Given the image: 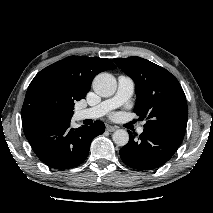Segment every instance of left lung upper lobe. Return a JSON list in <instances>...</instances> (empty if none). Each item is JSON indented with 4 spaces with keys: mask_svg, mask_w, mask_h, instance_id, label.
I'll list each match as a JSON object with an SVG mask.
<instances>
[{
    "mask_svg": "<svg viewBox=\"0 0 213 213\" xmlns=\"http://www.w3.org/2000/svg\"><path fill=\"white\" fill-rule=\"evenodd\" d=\"M113 61L136 85L134 112L147 119L144 129L183 140L188 120L184 91L176 77L141 57Z\"/></svg>",
    "mask_w": 213,
    "mask_h": 213,
    "instance_id": "1",
    "label": "left lung upper lobe"
}]
</instances>
